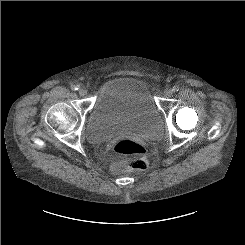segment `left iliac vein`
Masks as SVG:
<instances>
[{
    "mask_svg": "<svg viewBox=\"0 0 245 245\" xmlns=\"http://www.w3.org/2000/svg\"><path fill=\"white\" fill-rule=\"evenodd\" d=\"M172 94H173L172 89H168V90H166V92H165V96H166V97H170Z\"/></svg>",
    "mask_w": 245,
    "mask_h": 245,
    "instance_id": "1",
    "label": "left iliac vein"
}]
</instances>
